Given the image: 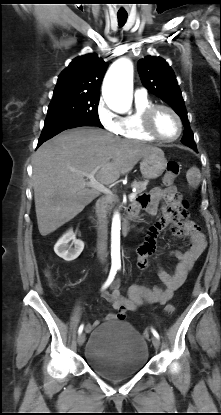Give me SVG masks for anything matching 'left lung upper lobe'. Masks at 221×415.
Returning a JSON list of instances; mask_svg holds the SVG:
<instances>
[{"label": "left lung upper lobe", "instance_id": "5c2ea615", "mask_svg": "<svg viewBox=\"0 0 221 415\" xmlns=\"http://www.w3.org/2000/svg\"><path fill=\"white\" fill-rule=\"evenodd\" d=\"M138 71L144 87L164 100L180 116L185 127L181 141L190 148L195 147L181 90L168 63L160 57L147 56L138 61Z\"/></svg>", "mask_w": 221, "mask_h": 415}]
</instances>
